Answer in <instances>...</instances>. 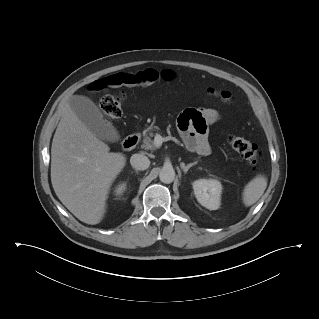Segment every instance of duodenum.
<instances>
[{
    "label": "duodenum",
    "mask_w": 319,
    "mask_h": 319,
    "mask_svg": "<svg viewBox=\"0 0 319 319\" xmlns=\"http://www.w3.org/2000/svg\"><path fill=\"white\" fill-rule=\"evenodd\" d=\"M138 139L139 138L137 134L129 135L122 142V148L126 151L132 150L137 145Z\"/></svg>",
    "instance_id": "410a0bca"
}]
</instances>
